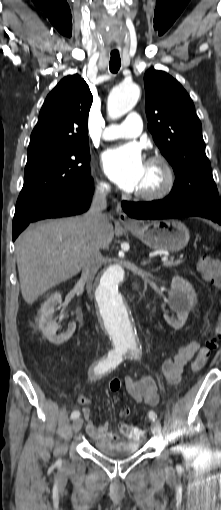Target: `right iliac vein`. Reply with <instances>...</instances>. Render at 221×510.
I'll use <instances>...</instances> for the list:
<instances>
[{"mask_svg":"<svg viewBox=\"0 0 221 510\" xmlns=\"http://www.w3.org/2000/svg\"><path fill=\"white\" fill-rule=\"evenodd\" d=\"M82 425H83V419L82 418L75 419L74 422H73V431H74V433H77L82 428Z\"/></svg>","mask_w":221,"mask_h":510,"instance_id":"right-iliac-vein-1","label":"right iliac vein"}]
</instances>
